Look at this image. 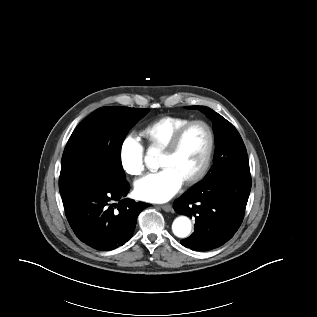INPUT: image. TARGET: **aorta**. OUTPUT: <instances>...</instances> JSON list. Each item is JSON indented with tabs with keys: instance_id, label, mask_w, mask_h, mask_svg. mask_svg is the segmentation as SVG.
<instances>
[{
	"instance_id": "762f6f07",
	"label": "aorta",
	"mask_w": 317,
	"mask_h": 317,
	"mask_svg": "<svg viewBox=\"0 0 317 317\" xmlns=\"http://www.w3.org/2000/svg\"><path fill=\"white\" fill-rule=\"evenodd\" d=\"M156 153L149 149L147 155L145 156V164L148 167L155 168L158 166V161L155 158ZM192 229V224L187 216H179L172 223V231L175 236L179 238H186L190 235Z\"/></svg>"
}]
</instances>
